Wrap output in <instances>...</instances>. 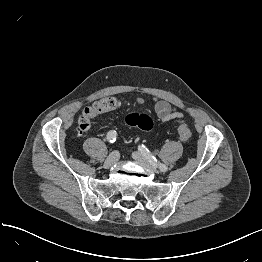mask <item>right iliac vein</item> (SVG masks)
Returning a JSON list of instances; mask_svg holds the SVG:
<instances>
[{
  "label": "right iliac vein",
  "mask_w": 262,
  "mask_h": 262,
  "mask_svg": "<svg viewBox=\"0 0 262 262\" xmlns=\"http://www.w3.org/2000/svg\"><path fill=\"white\" fill-rule=\"evenodd\" d=\"M119 159V153L117 151L112 152L104 162V168L108 169L112 167Z\"/></svg>",
  "instance_id": "1"
}]
</instances>
